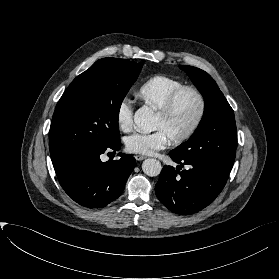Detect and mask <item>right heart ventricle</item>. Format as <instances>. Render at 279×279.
<instances>
[{
	"mask_svg": "<svg viewBox=\"0 0 279 279\" xmlns=\"http://www.w3.org/2000/svg\"><path fill=\"white\" fill-rule=\"evenodd\" d=\"M184 83L167 75H155L148 78L139 87L137 96L147 106L159 110L167 97Z\"/></svg>",
	"mask_w": 279,
	"mask_h": 279,
	"instance_id": "obj_1",
	"label": "right heart ventricle"
}]
</instances>
